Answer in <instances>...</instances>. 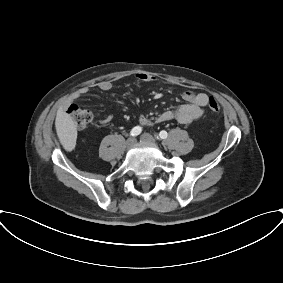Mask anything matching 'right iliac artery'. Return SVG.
Segmentation results:
<instances>
[{"label":"right iliac artery","instance_id":"right-iliac-artery-1","mask_svg":"<svg viewBox=\"0 0 283 283\" xmlns=\"http://www.w3.org/2000/svg\"><path fill=\"white\" fill-rule=\"evenodd\" d=\"M142 132V128L140 126H136L134 127L131 132H130V135L133 136V137H136L138 136L140 133Z\"/></svg>","mask_w":283,"mask_h":283}]
</instances>
